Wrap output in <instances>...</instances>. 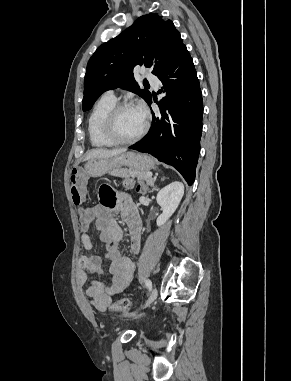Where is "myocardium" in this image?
I'll return each instance as SVG.
<instances>
[{
  "mask_svg": "<svg viewBox=\"0 0 291 381\" xmlns=\"http://www.w3.org/2000/svg\"><path fill=\"white\" fill-rule=\"evenodd\" d=\"M129 107H133V104L130 102H120L116 103L105 115L103 121H102V132L104 136L113 142L115 145H128V144H133L137 141H139L147 132L148 130V122L145 119L144 120V125L140 132L135 135L132 138L129 139H123L118 136L115 130V121L118 116V114Z\"/></svg>",
  "mask_w": 291,
  "mask_h": 381,
  "instance_id": "obj_1",
  "label": "myocardium"
}]
</instances>
